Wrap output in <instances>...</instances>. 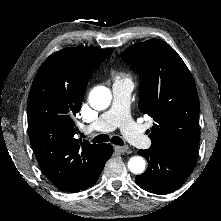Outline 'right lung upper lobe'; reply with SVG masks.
<instances>
[{
	"instance_id": "right-lung-upper-lobe-1",
	"label": "right lung upper lobe",
	"mask_w": 221,
	"mask_h": 221,
	"mask_svg": "<svg viewBox=\"0 0 221 221\" xmlns=\"http://www.w3.org/2000/svg\"><path fill=\"white\" fill-rule=\"evenodd\" d=\"M110 55L87 47L60 50L44 61L31 86V145L45 174L64 191L87 186L101 161L103 144L76 139L73 116L81 109L89 76Z\"/></svg>"
}]
</instances>
